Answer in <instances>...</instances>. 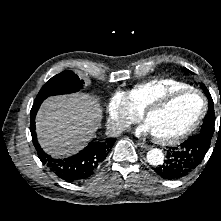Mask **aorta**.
I'll return each instance as SVG.
<instances>
[{
    "instance_id": "1",
    "label": "aorta",
    "mask_w": 221,
    "mask_h": 221,
    "mask_svg": "<svg viewBox=\"0 0 221 221\" xmlns=\"http://www.w3.org/2000/svg\"><path fill=\"white\" fill-rule=\"evenodd\" d=\"M147 162L150 165L158 166L163 163L164 160V154L160 149L153 148L147 153Z\"/></svg>"
}]
</instances>
